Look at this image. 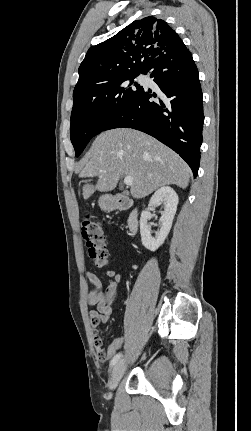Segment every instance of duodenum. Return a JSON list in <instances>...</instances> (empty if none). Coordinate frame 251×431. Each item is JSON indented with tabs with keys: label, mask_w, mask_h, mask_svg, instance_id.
Wrapping results in <instances>:
<instances>
[{
	"label": "duodenum",
	"mask_w": 251,
	"mask_h": 431,
	"mask_svg": "<svg viewBox=\"0 0 251 431\" xmlns=\"http://www.w3.org/2000/svg\"><path fill=\"white\" fill-rule=\"evenodd\" d=\"M110 206L113 209L127 210L132 208V201L123 195H117L112 199ZM127 225L131 233H135L137 231L138 220L136 209L131 210L127 220Z\"/></svg>",
	"instance_id": "1"
}]
</instances>
